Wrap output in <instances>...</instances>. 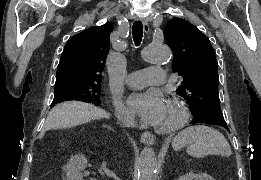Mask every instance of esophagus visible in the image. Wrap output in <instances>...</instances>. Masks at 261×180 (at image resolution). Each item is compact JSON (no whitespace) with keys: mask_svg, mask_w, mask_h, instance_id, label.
I'll use <instances>...</instances> for the list:
<instances>
[{"mask_svg":"<svg viewBox=\"0 0 261 180\" xmlns=\"http://www.w3.org/2000/svg\"><path fill=\"white\" fill-rule=\"evenodd\" d=\"M142 22H143V28H144L145 33H148L149 25H148L147 20L145 18H143ZM140 140L145 145H154V143L156 141V137L154 135H152V133H150V132H143L140 136Z\"/></svg>","mask_w":261,"mask_h":180,"instance_id":"34e87169","label":"esophagus"}]
</instances>
